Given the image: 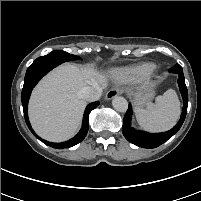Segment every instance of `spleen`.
Listing matches in <instances>:
<instances>
[{
  "instance_id": "1",
  "label": "spleen",
  "mask_w": 201,
  "mask_h": 201,
  "mask_svg": "<svg viewBox=\"0 0 201 201\" xmlns=\"http://www.w3.org/2000/svg\"><path fill=\"white\" fill-rule=\"evenodd\" d=\"M138 124L148 131L161 132L172 128L180 115V102L173 89L157 96L155 104L148 102L147 107H135Z\"/></svg>"
}]
</instances>
